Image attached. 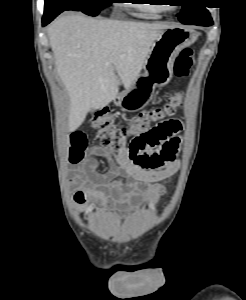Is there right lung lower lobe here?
I'll return each instance as SVG.
<instances>
[{
	"label": "right lung lower lobe",
	"instance_id": "98d812e1",
	"mask_svg": "<svg viewBox=\"0 0 246 300\" xmlns=\"http://www.w3.org/2000/svg\"><path fill=\"white\" fill-rule=\"evenodd\" d=\"M61 12L63 11H59L55 14H52L50 16H43V19H42V23H43V26L47 25L48 23H50L57 15H59Z\"/></svg>",
	"mask_w": 246,
	"mask_h": 300
}]
</instances>
